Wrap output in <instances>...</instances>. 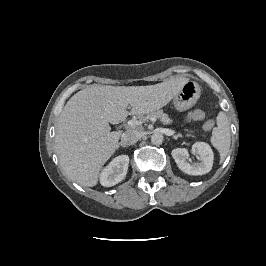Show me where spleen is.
Returning <instances> with one entry per match:
<instances>
[{
  "instance_id": "spleen-1",
  "label": "spleen",
  "mask_w": 266,
  "mask_h": 266,
  "mask_svg": "<svg viewBox=\"0 0 266 266\" xmlns=\"http://www.w3.org/2000/svg\"><path fill=\"white\" fill-rule=\"evenodd\" d=\"M211 143L218 150L220 161H224L231 145L229 123L224 112H219L217 116V127L212 131Z\"/></svg>"
}]
</instances>
